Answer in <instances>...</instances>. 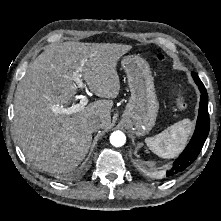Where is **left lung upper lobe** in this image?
Returning <instances> with one entry per match:
<instances>
[{
  "mask_svg": "<svg viewBox=\"0 0 221 221\" xmlns=\"http://www.w3.org/2000/svg\"><path fill=\"white\" fill-rule=\"evenodd\" d=\"M192 76L194 79L199 78L196 73L192 72Z\"/></svg>",
  "mask_w": 221,
  "mask_h": 221,
  "instance_id": "left-lung-upper-lobe-1",
  "label": "left lung upper lobe"
}]
</instances>
